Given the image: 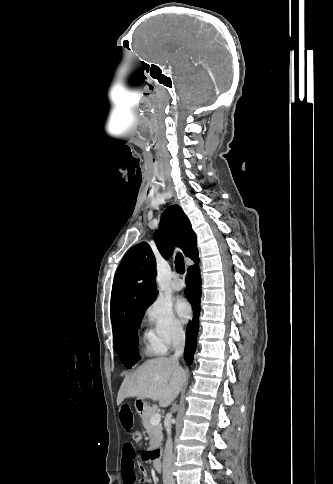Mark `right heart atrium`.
<instances>
[{
    "instance_id": "d8ad5b80",
    "label": "right heart atrium",
    "mask_w": 333,
    "mask_h": 484,
    "mask_svg": "<svg viewBox=\"0 0 333 484\" xmlns=\"http://www.w3.org/2000/svg\"><path fill=\"white\" fill-rule=\"evenodd\" d=\"M149 326L147 335L149 346L156 352H165L184 336L182 322L176 317L171 305L156 299L145 311Z\"/></svg>"
}]
</instances>
